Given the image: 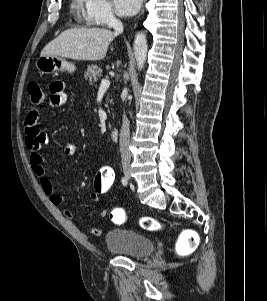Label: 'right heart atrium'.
Here are the masks:
<instances>
[{
    "mask_svg": "<svg viewBox=\"0 0 267 301\" xmlns=\"http://www.w3.org/2000/svg\"><path fill=\"white\" fill-rule=\"evenodd\" d=\"M84 18L87 23L110 27L116 21L111 3L108 0H85Z\"/></svg>",
    "mask_w": 267,
    "mask_h": 301,
    "instance_id": "1",
    "label": "right heart atrium"
}]
</instances>
